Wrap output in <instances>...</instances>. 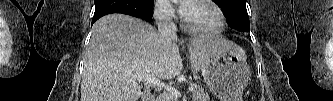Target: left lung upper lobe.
I'll return each mask as SVG.
<instances>
[{"mask_svg":"<svg viewBox=\"0 0 333 101\" xmlns=\"http://www.w3.org/2000/svg\"><path fill=\"white\" fill-rule=\"evenodd\" d=\"M224 12L227 23L238 31L249 32L246 0H213Z\"/></svg>","mask_w":333,"mask_h":101,"instance_id":"5c2ea615","label":"left lung upper lobe"}]
</instances>
